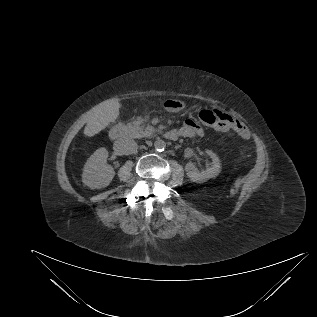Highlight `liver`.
<instances>
[{"instance_id": "obj_1", "label": "liver", "mask_w": 317, "mask_h": 317, "mask_svg": "<svg viewBox=\"0 0 317 317\" xmlns=\"http://www.w3.org/2000/svg\"><path fill=\"white\" fill-rule=\"evenodd\" d=\"M120 103L112 98L93 107L86 114L84 134L88 137L98 134L119 116Z\"/></svg>"}]
</instances>
